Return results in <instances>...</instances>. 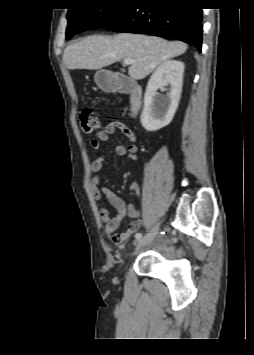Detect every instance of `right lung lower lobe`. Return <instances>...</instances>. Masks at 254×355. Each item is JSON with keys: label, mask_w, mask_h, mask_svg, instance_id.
<instances>
[{"label": "right lung lower lobe", "mask_w": 254, "mask_h": 355, "mask_svg": "<svg viewBox=\"0 0 254 355\" xmlns=\"http://www.w3.org/2000/svg\"><path fill=\"white\" fill-rule=\"evenodd\" d=\"M201 23L198 0H135L101 28L174 38L200 50Z\"/></svg>", "instance_id": "obj_1"}]
</instances>
